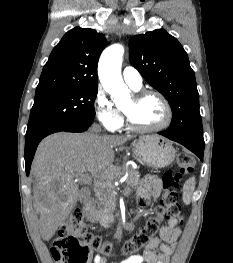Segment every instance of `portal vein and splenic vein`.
<instances>
[{
  "mask_svg": "<svg viewBox=\"0 0 233 263\" xmlns=\"http://www.w3.org/2000/svg\"><path fill=\"white\" fill-rule=\"evenodd\" d=\"M76 181H79L82 184L89 185L92 182L91 176L86 173L82 176H80Z\"/></svg>",
  "mask_w": 233,
  "mask_h": 263,
  "instance_id": "18ae733b",
  "label": "portal vein and splenic vein"
}]
</instances>
